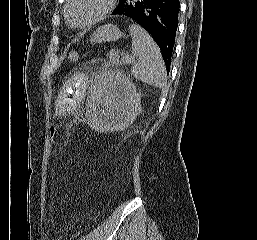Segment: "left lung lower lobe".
Returning a JSON list of instances; mask_svg holds the SVG:
<instances>
[{
	"instance_id": "left-lung-lower-lobe-1",
	"label": "left lung lower lobe",
	"mask_w": 257,
	"mask_h": 240,
	"mask_svg": "<svg viewBox=\"0 0 257 240\" xmlns=\"http://www.w3.org/2000/svg\"><path fill=\"white\" fill-rule=\"evenodd\" d=\"M179 0H120L112 15L131 19L143 27L159 46L170 69L178 26Z\"/></svg>"
}]
</instances>
